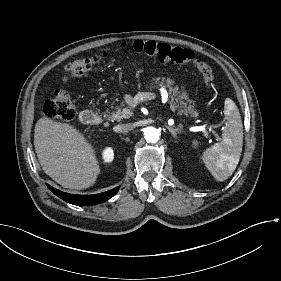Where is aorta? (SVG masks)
<instances>
[{
    "instance_id": "aorta-1",
    "label": "aorta",
    "mask_w": 281,
    "mask_h": 281,
    "mask_svg": "<svg viewBox=\"0 0 281 281\" xmlns=\"http://www.w3.org/2000/svg\"><path fill=\"white\" fill-rule=\"evenodd\" d=\"M144 137L147 142L156 143L159 140V131L154 127L144 129Z\"/></svg>"
}]
</instances>
